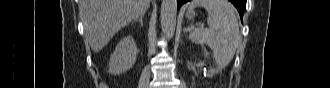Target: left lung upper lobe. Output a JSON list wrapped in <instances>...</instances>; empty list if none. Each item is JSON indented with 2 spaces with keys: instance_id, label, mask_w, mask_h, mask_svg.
<instances>
[{
  "instance_id": "obj_1",
  "label": "left lung upper lobe",
  "mask_w": 330,
  "mask_h": 88,
  "mask_svg": "<svg viewBox=\"0 0 330 88\" xmlns=\"http://www.w3.org/2000/svg\"><path fill=\"white\" fill-rule=\"evenodd\" d=\"M243 8H244V11H245V9H246V4L245 3L243 4Z\"/></svg>"
}]
</instances>
